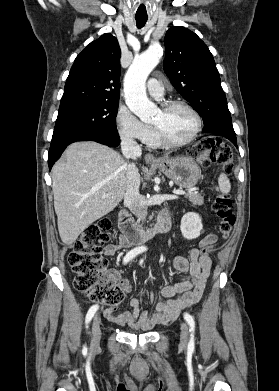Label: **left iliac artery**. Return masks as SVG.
<instances>
[{
	"instance_id": "44dca946",
	"label": "left iliac artery",
	"mask_w": 279,
	"mask_h": 391,
	"mask_svg": "<svg viewBox=\"0 0 279 391\" xmlns=\"http://www.w3.org/2000/svg\"><path fill=\"white\" fill-rule=\"evenodd\" d=\"M142 263V260L140 261V264ZM184 319L187 321L189 328H190V340L188 343L189 349H194V331H195V322L193 317L189 313H184Z\"/></svg>"
}]
</instances>
